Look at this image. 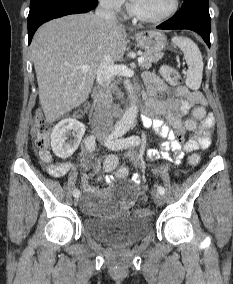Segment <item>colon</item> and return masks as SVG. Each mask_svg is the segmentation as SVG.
Wrapping results in <instances>:
<instances>
[{
  "mask_svg": "<svg viewBox=\"0 0 233 284\" xmlns=\"http://www.w3.org/2000/svg\"><path fill=\"white\" fill-rule=\"evenodd\" d=\"M160 72L168 83L172 85H178L180 83V74L173 67L164 65L161 67ZM205 116V109L202 106H196L193 110L192 116L185 121L186 130H196L198 122L203 120ZM52 128V124L47 121V119L41 113H39L33 129L34 144L44 162H48L50 159L49 135ZM199 161L200 156L198 154H193L189 157V162L193 165L197 164ZM104 167L105 170L108 173L113 174L116 179H124L128 174L126 166L121 163L117 156L107 157ZM137 212L140 214H149L150 210L148 208H142Z\"/></svg>",
  "mask_w": 233,
  "mask_h": 284,
  "instance_id": "5ec220e1",
  "label": "colon"
}]
</instances>
